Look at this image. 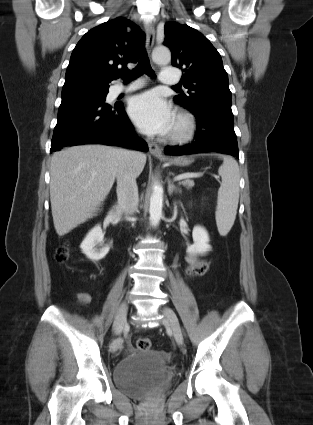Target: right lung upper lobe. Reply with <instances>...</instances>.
Masks as SVG:
<instances>
[{
  "label": "right lung upper lobe",
  "mask_w": 313,
  "mask_h": 425,
  "mask_svg": "<svg viewBox=\"0 0 313 425\" xmlns=\"http://www.w3.org/2000/svg\"><path fill=\"white\" fill-rule=\"evenodd\" d=\"M144 40L141 29L123 17L92 28L71 54L62 90L109 88L112 80L128 70L127 63L138 61Z\"/></svg>",
  "instance_id": "obj_1"
}]
</instances>
